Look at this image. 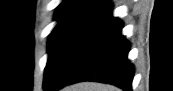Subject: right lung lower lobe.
<instances>
[{
    "instance_id": "1",
    "label": "right lung lower lobe",
    "mask_w": 173,
    "mask_h": 91,
    "mask_svg": "<svg viewBox=\"0 0 173 91\" xmlns=\"http://www.w3.org/2000/svg\"><path fill=\"white\" fill-rule=\"evenodd\" d=\"M122 26L112 16V8L85 23L44 81V91L80 81L109 83L131 91L134 66L128 60L130 44L121 35Z\"/></svg>"
}]
</instances>
